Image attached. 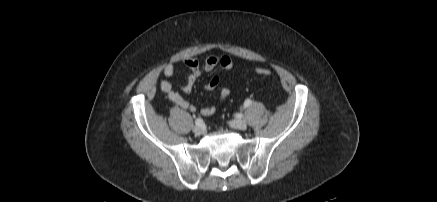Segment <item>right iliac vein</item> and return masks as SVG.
<instances>
[{"instance_id":"right-iliac-vein-1","label":"right iliac vein","mask_w":437,"mask_h":202,"mask_svg":"<svg viewBox=\"0 0 437 202\" xmlns=\"http://www.w3.org/2000/svg\"><path fill=\"white\" fill-rule=\"evenodd\" d=\"M193 132H194L196 135H202V134L205 133V129H204V127H202V126H194V128H193Z\"/></svg>"}]
</instances>
